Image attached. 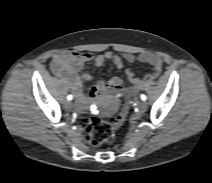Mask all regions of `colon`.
Segmentation results:
<instances>
[{"label": "colon", "instance_id": "5ec220e1", "mask_svg": "<svg viewBox=\"0 0 212 183\" xmlns=\"http://www.w3.org/2000/svg\"><path fill=\"white\" fill-rule=\"evenodd\" d=\"M129 103L130 98H127L120 112L112 120L92 118L87 121V140L91 146L98 147L113 141L116 131L127 121Z\"/></svg>", "mask_w": 212, "mask_h": 183}]
</instances>
